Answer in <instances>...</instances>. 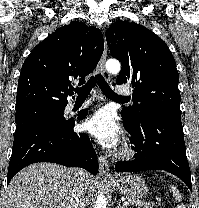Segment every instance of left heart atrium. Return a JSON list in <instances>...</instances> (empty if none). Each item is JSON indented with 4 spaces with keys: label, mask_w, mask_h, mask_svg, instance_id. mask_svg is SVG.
I'll return each mask as SVG.
<instances>
[{
    "label": "left heart atrium",
    "mask_w": 199,
    "mask_h": 208,
    "mask_svg": "<svg viewBox=\"0 0 199 208\" xmlns=\"http://www.w3.org/2000/svg\"><path fill=\"white\" fill-rule=\"evenodd\" d=\"M81 130L94 137L106 147H114L120 137V128L114 123L110 114L100 110L81 123Z\"/></svg>",
    "instance_id": "left-heart-atrium-1"
}]
</instances>
